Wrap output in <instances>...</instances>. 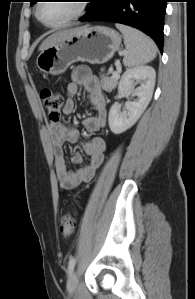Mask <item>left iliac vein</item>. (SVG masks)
Wrapping results in <instances>:
<instances>
[{
	"mask_svg": "<svg viewBox=\"0 0 195 299\" xmlns=\"http://www.w3.org/2000/svg\"><path fill=\"white\" fill-rule=\"evenodd\" d=\"M78 286V274L76 271L70 273L67 281V290L70 294H74Z\"/></svg>",
	"mask_w": 195,
	"mask_h": 299,
	"instance_id": "left-iliac-vein-1",
	"label": "left iliac vein"
}]
</instances>
